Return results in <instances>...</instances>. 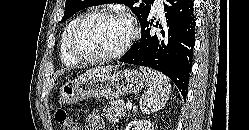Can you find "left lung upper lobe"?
I'll list each match as a JSON object with an SVG mask.
<instances>
[{
	"label": "left lung upper lobe",
	"mask_w": 249,
	"mask_h": 130,
	"mask_svg": "<svg viewBox=\"0 0 249 130\" xmlns=\"http://www.w3.org/2000/svg\"><path fill=\"white\" fill-rule=\"evenodd\" d=\"M138 2V0H67L61 22L66 21L70 16L81 9L107 3H118L128 6L137 16L141 24L150 16V4L153 3V0H142L140 4H138Z\"/></svg>",
	"instance_id": "5c2ea615"
}]
</instances>
